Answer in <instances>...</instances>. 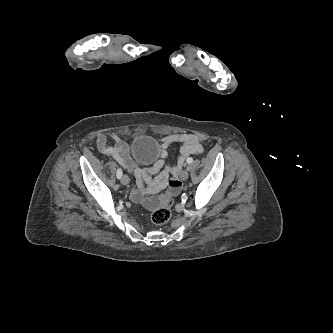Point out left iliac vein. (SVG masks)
Segmentation results:
<instances>
[{
  "label": "left iliac vein",
  "instance_id": "4c4485c4",
  "mask_svg": "<svg viewBox=\"0 0 333 333\" xmlns=\"http://www.w3.org/2000/svg\"><path fill=\"white\" fill-rule=\"evenodd\" d=\"M188 177H189V173H188L187 170H183V171H181V173H180V178H181V180L185 181V180L188 179Z\"/></svg>",
  "mask_w": 333,
  "mask_h": 333
}]
</instances>
